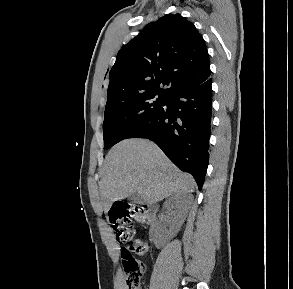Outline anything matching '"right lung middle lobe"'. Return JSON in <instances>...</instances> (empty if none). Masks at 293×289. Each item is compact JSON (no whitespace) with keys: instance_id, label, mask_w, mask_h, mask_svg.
Listing matches in <instances>:
<instances>
[{"instance_id":"dd1d6c3e","label":"right lung middle lobe","mask_w":293,"mask_h":289,"mask_svg":"<svg viewBox=\"0 0 293 289\" xmlns=\"http://www.w3.org/2000/svg\"><path fill=\"white\" fill-rule=\"evenodd\" d=\"M167 97L151 92L107 104L103 123L104 149L127 139L164 105Z\"/></svg>"}]
</instances>
